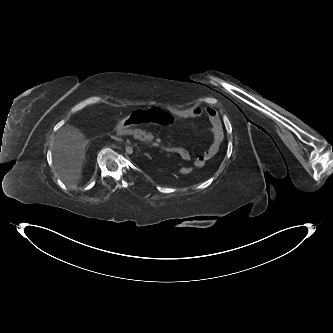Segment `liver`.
Returning <instances> with one entry per match:
<instances>
[{"mask_svg":"<svg viewBox=\"0 0 333 333\" xmlns=\"http://www.w3.org/2000/svg\"><path fill=\"white\" fill-rule=\"evenodd\" d=\"M88 143V139L78 128L68 124L56 134L53 145V167L70 188H75L82 178Z\"/></svg>","mask_w":333,"mask_h":333,"instance_id":"obj_1","label":"liver"}]
</instances>
